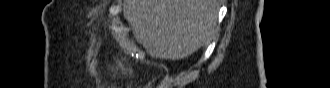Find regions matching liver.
<instances>
[{
    "label": "liver",
    "mask_w": 330,
    "mask_h": 88,
    "mask_svg": "<svg viewBox=\"0 0 330 88\" xmlns=\"http://www.w3.org/2000/svg\"><path fill=\"white\" fill-rule=\"evenodd\" d=\"M218 0H125L123 15L151 57L184 59L209 42Z\"/></svg>",
    "instance_id": "1"
}]
</instances>
